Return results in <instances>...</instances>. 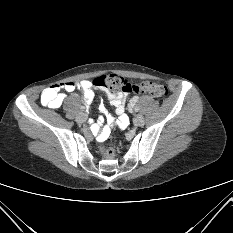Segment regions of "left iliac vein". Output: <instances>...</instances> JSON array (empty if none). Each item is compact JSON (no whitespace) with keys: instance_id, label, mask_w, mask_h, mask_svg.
<instances>
[{"instance_id":"left-iliac-vein-1","label":"left iliac vein","mask_w":233,"mask_h":233,"mask_svg":"<svg viewBox=\"0 0 233 233\" xmlns=\"http://www.w3.org/2000/svg\"><path fill=\"white\" fill-rule=\"evenodd\" d=\"M144 122H145L144 117L141 114H137L135 117V124L138 126H142Z\"/></svg>"}]
</instances>
